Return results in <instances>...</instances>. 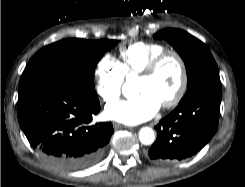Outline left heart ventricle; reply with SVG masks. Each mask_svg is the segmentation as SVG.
<instances>
[{"instance_id": "1", "label": "left heart ventricle", "mask_w": 245, "mask_h": 187, "mask_svg": "<svg viewBox=\"0 0 245 187\" xmlns=\"http://www.w3.org/2000/svg\"><path fill=\"white\" fill-rule=\"evenodd\" d=\"M180 83V67L173 57L165 59L155 73L147 78L137 80L138 93L149 92L160 104L169 100Z\"/></svg>"}]
</instances>
